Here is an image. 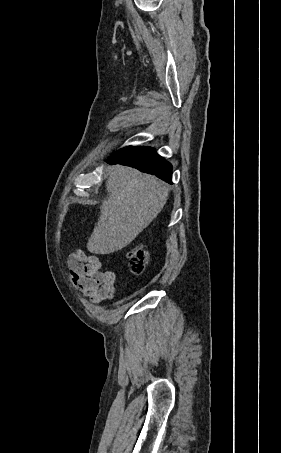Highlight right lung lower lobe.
Masks as SVG:
<instances>
[{"instance_id":"98d812e1","label":"right lung lower lobe","mask_w":281,"mask_h":453,"mask_svg":"<svg viewBox=\"0 0 281 453\" xmlns=\"http://www.w3.org/2000/svg\"><path fill=\"white\" fill-rule=\"evenodd\" d=\"M110 164H122L134 167L142 172L156 175L162 180L172 183V166L164 158L159 156L151 147H126L120 149L112 156Z\"/></svg>"}]
</instances>
